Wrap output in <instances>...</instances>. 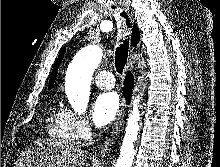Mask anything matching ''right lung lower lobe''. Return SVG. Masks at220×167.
<instances>
[{
  "mask_svg": "<svg viewBox=\"0 0 220 167\" xmlns=\"http://www.w3.org/2000/svg\"><path fill=\"white\" fill-rule=\"evenodd\" d=\"M133 84H134L133 76H132L131 73H128L126 75V78H125V86H124V89H123L124 96L126 97L128 103H129L130 98H131Z\"/></svg>",
  "mask_w": 220,
  "mask_h": 167,
  "instance_id": "right-lung-lower-lobe-1",
  "label": "right lung lower lobe"
}]
</instances>
